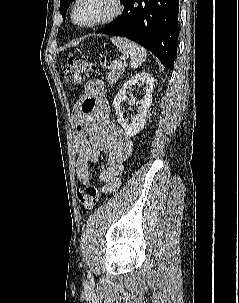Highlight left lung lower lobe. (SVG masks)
<instances>
[{
	"label": "left lung lower lobe",
	"mask_w": 239,
	"mask_h": 303,
	"mask_svg": "<svg viewBox=\"0 0 239 303\" xmlns=\"http://www.w3.org/2000/svg\"><path fill=\"white\" fill-rule=\"evenodd\" d=\"M122 15L96 33L127 37L173 69L178 46L179 0H124Z\"/></svg>",
	"instance_id": "left-lung-lower-lobe-1"
}]
</instances>
